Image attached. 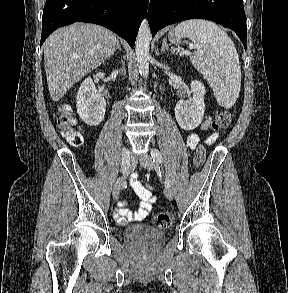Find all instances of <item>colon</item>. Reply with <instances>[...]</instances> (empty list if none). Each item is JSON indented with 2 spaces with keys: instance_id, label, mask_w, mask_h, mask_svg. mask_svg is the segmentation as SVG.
I'll use <instances>...</instances> for the list:
<instances>
[{
  "instance_id": "1",
  "label": "colon",
  "mask_w": 288,
  "mask_h": 293,
  "mask_svg": "<svg viewBox=\"0 0 288 293\" xmlns=\"http://www.w3.org/2000/svg\"><path fill=\"white\" fill-rule=\"evenodd\" d=\"M232 113L229 111L220 112L212 123V129L218 131L228 127L232 122ZM56 125L61 134L67 142L74 146L79 147L83 143L82 134L75 128V119L69 108L61 109L55 116ZM206 152L205 148L200 145L195 151L193 163L196 167H201L205 162ZM155 226L165 229L171 226L172 216L167 212H161L155 215L153 219Z\"/></svg>"
}]
</instances>
